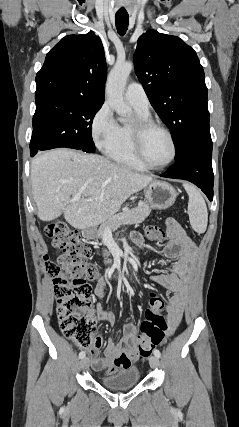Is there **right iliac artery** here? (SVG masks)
Segmentation results:
<instances>
[{
	"label": "right iliac artery",
	"instance_id": "1",
	"mask_svg": "<svg viewBox=\"0 0 239 427\" xmlns=\"http://www.w3.org/2000/svg\"><path fill=\"white\" fill-rule=\"evenodd\" d=\"M85 352L84 351H81L80 353H79V358L80 359H82V358H84L85 357Z\"/></svg>",
	"mask_w": 239,
	"mask_h": 427
}]
</instances>
